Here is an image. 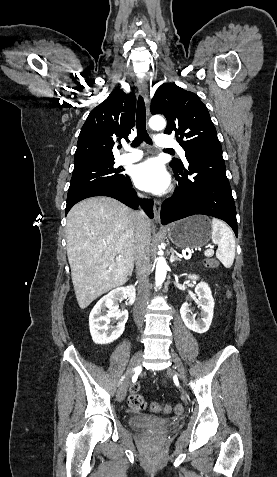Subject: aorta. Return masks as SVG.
<instances>
[{
    "mask_svg": "<svg viewBox=\"0 0 277 477\" xmlns=\"http://www.w3.org/2000/svg\"><path fill=\"white\" fill-rule=\"evenodd\" d=\"M149 126L154 130H162L166 126V121L161 116H153L149 120ZM167 268L168 266L165 258L162 256L158 257L155 274V282L157 286L161 285L164 282L166 278Z\"/></svg>",
    "mask_w": 277,
    "mask_h": 477,
    "instance_id": "aorta-1",
    "label": "aorta"
}]
</instances>
